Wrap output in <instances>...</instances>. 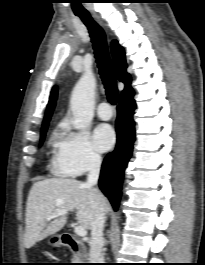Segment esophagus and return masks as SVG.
<instances>
[{
    "label": "esophagus",
    "instance_id": "esophagus-1",
    "mask_svg": "<svg viewBox=\"0 0 205 265\" xmlns=\"http://www.w3.org/2000/svg\"><path fill=\"white\" fill-rule=\"evenodd\" d=\"M94 16L99 20V18L94 14ZM100 21V20H99ZM101 22V21H100Z\"/></svg>",
    "mask_w": 205,
    "mask_h": 265
}]
</instances>
